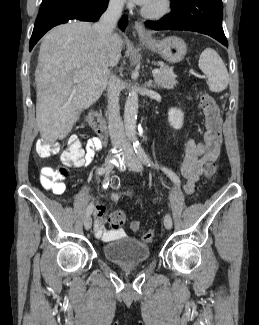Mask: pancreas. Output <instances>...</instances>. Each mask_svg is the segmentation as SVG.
I'll use <instances>...</instances> for the list:
<instances>
[{"instance_id":"1","label":"pancreas","mask_w":259,"mask_h":325,"mask_svg":"<svg viewBox=\"0 0 259 325\" xmlns=\"http://www.w3.org/2000/svg\"><path fill=\"white\" fill-rule=\"evenodd\" d=\"M160 72L154 75L155 83L158 87L173 89L176 84V75L173 73V70L166 65H160Z\"/></svg>"}]
</instances>
